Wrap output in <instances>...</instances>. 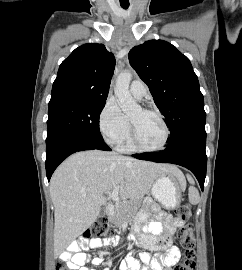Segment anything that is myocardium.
Masks as SVG:
<instances>
[{
	"label": "myocardium",
	"mask_w": 242,
	"mask_h": 270,
	"mask_svg": "<svg viewBox=\"0 0 242 270\" xmlns=\"http://www.w3.org/2000/svg\"><path fill=\"white\" fill-rule=\"evenodd\" d=\"M141 110L144 113L153 114V115L158 117V119L160 120V122L163 126V129H164V138H163L162 143L156 147L143 146L142 144H140V142L138 140L136 126L134 125L133 121L130 119V135H131V143L133 145V148L137 151H140V152H158V151L165 149L166 146L168 145V142L170 139V128H169L163 114L160 111L153 109V108H141Z\"/></svg>",
	"instance_id": "myocardium-1"
}]
</instances>
